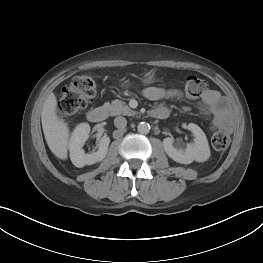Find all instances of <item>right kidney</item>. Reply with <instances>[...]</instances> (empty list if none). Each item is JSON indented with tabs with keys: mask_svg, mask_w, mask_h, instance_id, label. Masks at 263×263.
Returning <instances> with one entry per match:
<instances>
[{
	"mask_svg": "<svg viewBox=\"0 0 263 263\" xmlns=\"http://www.w3.org/2000/svg\"><path fill=\"white\" fill-rule=\"evenodd\" d=\"M90 125L88 123H80L73 130L69 140L70 159L74 166L81 168L85 165H92L102 161L108 151L110 138L103 136L99 142V149L97 152L86 154L83 150V145L89 138Z\"/></svg>",
	"mask_w": 263,
	"mask_h": 263,
	"instance_id": "right-kidney-1",
	"label": "right kidney"
}]
</instances>
